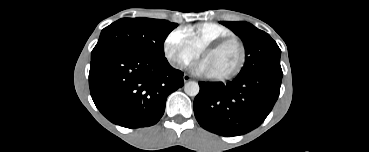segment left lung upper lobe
Here are the masks:
<instances>
[{
    "instance_id": "obj_1",
    "label": "left lung upper lobe",
    "mask_w": 369,
    "mask_h": 152,
    "mask_svg": "<svg viewBox=\"0 0 369 152\" xmlns=\"http://www.w3.org/2000/svg\"><path fill=\"white\" fill-rule=\"evenodd\" d=\"M220 23L231 29L244 43L245 64L239 76H248L261 71L282 72L281 50L269 34L243 21H221Z\"/></svg>"
}]
</instances>
